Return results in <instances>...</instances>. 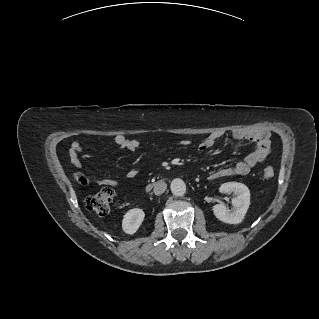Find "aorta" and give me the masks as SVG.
Wrapping results in <instances>:
<instances>
[{"instance_id": "762f6f07", "label": "aorta", "mask_w": 319, "mask_h": 319, "mask_svg": "<svg viewBox=\"0 0 319 319\" xmlns=\"http://www.w3.org/2000/svg\"><path fill=\"white\" fill-rule=\"evenodd\" d=\"M171 192L175 196H183L186 192V184L182 179H173L170 185Z\"/></svg>"}]
</instances>
